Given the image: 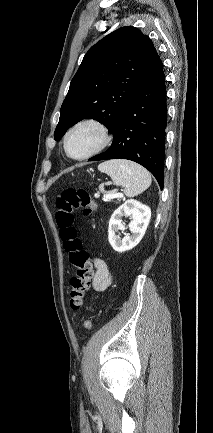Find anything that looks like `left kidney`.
I'll return each mask as SVG.
<instances>
[{
    "label": "left kidney",
    "mask_w": 213,
    "mask_h": 433,
    "mask_svg": "<svg viewBox=\"0 0 213 433\" xmlns=\"http://www.w3.org/2000/svg\"><path fill=\"white\" fill-rule=\"evenodd\" d=\"M129 217V229L131 235L120 238L118 231L125 230L122 218ZM151 218V209L137 200L129 199L125 201L112 214L109 221L108 239L112 248L116 252H125L134 248L143 238Z\"/></svg>",
    "instance_id": "obj_1"
}]
</instances>
